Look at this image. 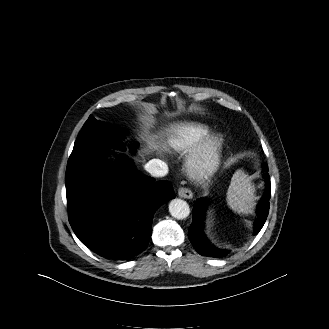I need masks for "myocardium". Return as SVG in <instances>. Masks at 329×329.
<instances>
[{
	"label": "myocardium",
	"mask_w": 329,
	"mask_h": 329,
	"mask_svg": "<svg viewBox=\"0 0 329 329\" xmlns=\"http://www.w3.org/2000/svg\"><path fill=\"white\" fill-rule=\"evenodd\" d=\"M224 153V139L212 134L198 143L186 160L187 174L196 181L213 176L219 169Z\"/></svg>",
	"instance_id": "obj_1"
}]
</instances>
